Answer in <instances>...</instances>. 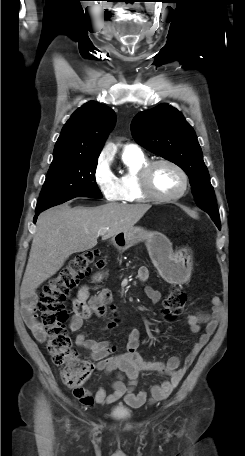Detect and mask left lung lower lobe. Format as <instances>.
<instances>
[{"label":"left lung lower lobe","mask_w":245,"mask_h":456,"mask_svg":"<svg viewBox=\"0 0 245 456\" xmlns=\"http://www.w3.org/2000/svg\"><path fill=\"white\" fill-rule=\"evenodd\" d=\"M217 225V227L220 229L221 227V224L220 223H215Z\"/></svg>","instance_id":"0a47b994"}]
</instances>
